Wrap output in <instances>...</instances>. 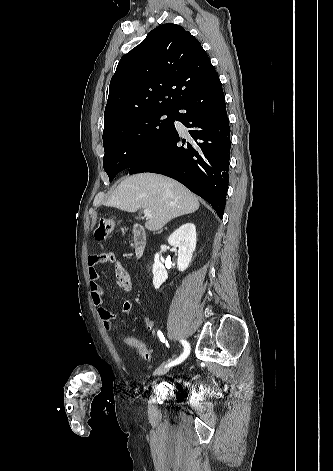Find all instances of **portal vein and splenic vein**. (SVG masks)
Listing matches in <instances>:
<instances>
[{
    "label": "portal vein and splenic vein",
    "instance_id": "1",
    "mask_svg": "<svg viewBox=\"0 0 333 471\" xmlns=\"http://www.w3.org/2000/svg\"><path fill=\"white\" fill-rule=\"evenodd\" d=\"M143 213H144V216H146V217L151 216V211L149 209H144Z\"/></svg>",
    "mask_w": 333,
    "mask_h": 471
}]
</instances>
